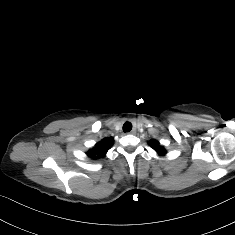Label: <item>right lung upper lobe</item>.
Returning a JSON list of instances; mask_svg holds the SVG:
<instances>
[{"mask_svg":"<svg viewBox=\"0 0 235 235\" xmlns=\"http://www.w3.org/2000/svg\"><path fill=\"white\" fill-rule=\"evenodd\" d=\"M113 145V138L107 137L98 142L95 147L87 152L92 159L104 157L108 149Z\"/></svg>","mask_w":235,"mask_h":235,"instance_id":"1","label":"right lung upper lobe"}]
</instances>
